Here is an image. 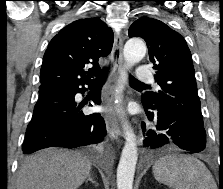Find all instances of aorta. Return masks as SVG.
Returning <instances> with one entry per match:
<instances>
[{
    "label": "aorta",
    "mask_w": 223,
    "mask_h": 189,
    "mask_svg": "<svg viewBox=\"0 0 223 189\" xmlns=\"http://www.w3.org/2000/svg\"><path fill=\"white\" fill-rule=\"evenodd\" d=\"M146 44L140 38L129 39L124 46V60L126 67L138 63L146 54ZM125 73L119 80V86L116 89V102H120V95L124 89ZM125 145L122 150L120 161L117 168V189H133V181L136 163L138 159L137 141L131 127L124 122Z\"/></svg>",
    "instance_id": "762f6f07"
}]
</instances>
